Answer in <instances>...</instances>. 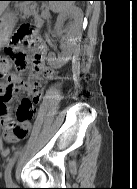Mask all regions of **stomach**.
Listing matches in <instances>:
<instances>
[{
  "mask_svg": "<svg viewBox=\"0 0 137 189\" xmlns=\"http://www.w3.org/2000/svg\"><path fill=\"white\" fill-rule=\"evenodd\" d=\"M44 3V2H43ZM14 26V14L4 13V15L0 16V38L4 35L8 36L12 31Z\"/></svg>",
  "mask_w": 137,
  "mask_h": 189,
  "instance_id": "obj_1",
  "label": "stomach"
}]
</instances>
